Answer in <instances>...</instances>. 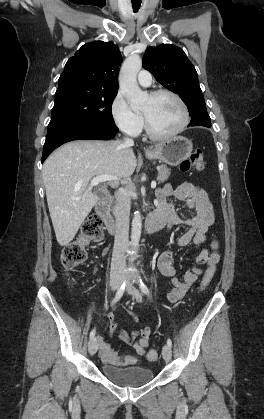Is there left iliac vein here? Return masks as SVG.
I'll use <instances>...</instances> for the list:
<instances>
[{"instance_id":"1","label":"left iliac vein","mask_w":264,"mask_h":419,"mask_svg":"<svg viewBox=\"0 0 264 419\" xmlns=\"http://www.w3.org/2000/svg\"><path fill=\"white\" fill-rule=\"evenodd\" d=\"M127 292H128V294L133 295V297H135L137 301L140 302L142 300L141 293L130 282L127 283ZM162 355H163V358L166 361L171 360L172 349L168 344L164 345V347L162 349Z\"/></svg>"}]
</instances>
